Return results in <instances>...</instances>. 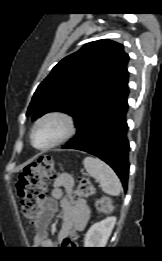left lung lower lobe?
I'll list each match as a JSON object with an SVG mask.
<instances>
[{
	"label": "left lung lower lobe",
	"instance_id": "0a47b994",
	"mask_svg": "<svg viewBox=\"0 0 162 261\" xmlns=\"http://www.w3.org/2000/svg\"><path fill=\"white\" fill-rule=\"evenodd\" d=\"M128 85L117 92L77 129L76 135L63 149H77L105 161L120 178L127 190L129 173V141L126 115Z\"/></svg>",
	"mask_w": 162,
	"mask_h": 261
}]
</instances>
